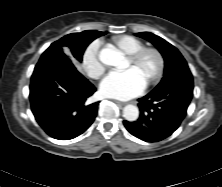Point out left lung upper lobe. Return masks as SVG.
Segmentation results:
<instances>
[{"label":"left lung upper lobe","mask_w":222,"mask_h":187,"mask_svg":"<svg viewBox=\"0 0 222 187\" xmlns=\"http://www.w3.org/2000/svg\"><path fill=\"white\" fill-rule=\"evenodd\" d=\"M136 36L154 44L165 61L163 78L151 92H164L161 97L165 95L172 96L180 92L183 89L182 81L186 78H192L187 62L181 53L173 45L150 32L137 33Z\"/></svg>","instance_id":"1"}]
</instances>
